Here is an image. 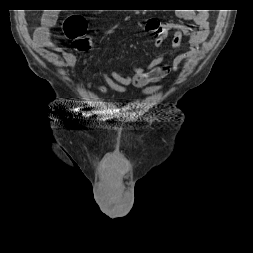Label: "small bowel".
<instances>
[{
	"mask_svg": "<svg viewBox=\"0 0 253 253\" xmlns=\"http://www.w3.org/2000/svg\"><path fill=\"white\" fill-rule=\"evenodd\" d=\"M187 18L191 19L198 27L194 30L191 25L180 24L175 22L160 23L157 19H149L146 22V29L152 32L153 44L156 48H162L168 35L174 31L172 37V48L180 53L174 57L172 62L166 63L163 55L154 58L146 67L134 66L131 75L122 76L116 71L110 75L103 74L104 85H95L91 82L86 84L88 89H95L101 93H106L108 88L117 92H126L127 87L132 85L142 91L143 94L149 95L161 90L164 85L159 82L170 75L171 72H178L180 65L184 60L192 58L197 54L201 45H205L210 35L208 14L205 11L196 13H187ZM55 25V15L46 14L42 19V24L34 32V40L40 47L50 48L55 51H61L59 47L51 42V29ZM187 37L188 51L181 52V39ZM65 63L68 66L77 64L76 56L71 52H62Z\"/></svg>",
	"mask_w": 253,
	"mask_h": 253,
	"instance_id": "small-bowel-1",
	"label": "small bowel"
}]
</instances>
